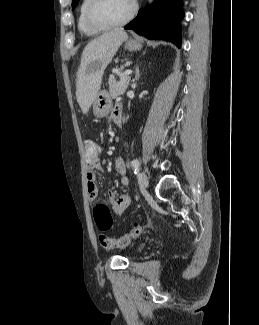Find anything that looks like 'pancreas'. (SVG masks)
Listing matches in <instances>:
<instances>
[{
	"label": "pancreas",
	"mask_w": 259,
	"mask_h": 325,
	"mask_svg": "<svg viewBox=\"0 0 259 325\" xmlns=\"http://www.w3.org/2000/svg\"><path fill=\"white\" fill-rule=\"evenodd\" d=\"M124 66L120 68V70H123ZM130 82V77L128 75H125L124 73L120 76V80L116 81L115 76L111 75L109 77V92L112 98H116L122 94L125 93V91L128 88Z\"/></svg>",
	"instance_id": "pancreas-1"
}]
</instances>
